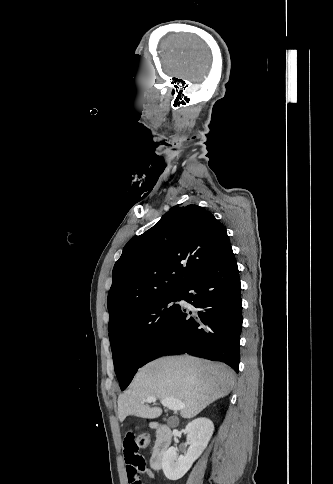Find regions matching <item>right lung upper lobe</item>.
Segmentation results:
<instances>
[{"mask_svg": "<svg viewBox=\"0 0 333 484\" xmlns=\"http://www.w3.org/2000/svg\"><path fill=\"white\" fill-rule=\"evenodd\" d=\"M225 226L198 205L174 206L132 238L112 273L109 325L156 297L181 291L228 247Z\"/></svg>", "mask_w": 333, "mask_h": 484, "instance_id": "cb5924a9", "label": "right lung upper lobe"}]
</instances>
